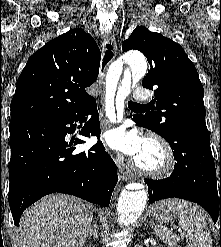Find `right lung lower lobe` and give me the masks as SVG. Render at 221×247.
<instances>
[{
	"instance_id": "obj_1",
	"label": "right lung lower lobe",
	"mask_w": 221,
	"mask_h": 247,
	"mask_svg": "<svg viewBox=\"0 0 221 247\" xmlns=\"http://www.w3.org/2000/svg\"><path fill=\"white\" fill-rule=\"evenodd\" d=\"M90 120L83 136L99 138L100 123L96 100L76 113L58 120L27 121L10 125L9 205L16 226L23 211L41 197L67 193L89 202L108 206L118 181L114 161L99 140L88 151L73 153L66 134L75 131L74 122ZM70 124V126H69Z\"/></svg>"
}]
</instances>
